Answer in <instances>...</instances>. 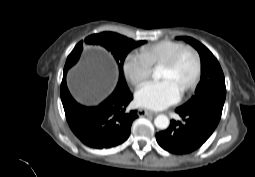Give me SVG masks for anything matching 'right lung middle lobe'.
I'll list each match as a JSON object with an SVG mask.
<instances>
[{
  "mask_svg": "<svg viewBox=\"0 0 255 177\" xmlns=\"http://www.w3.org/2000/svg\"><path fill=\"white\" fill-rule=\"evenodd\" d=\"M85 42L87 44L101 45L113 54L119 67L118 84L122 86H126L125 79L123 76V63L125 57L132 49L146 43V41L136 42L130 38H127L125 36L113 32H102L99 34L91 35L85 39ZM82 45L83 41H81L78 44V48L74 52V55H71L70 53V55L67 58L64 70H68L72 65H74L78 61L81 55Z\"/></svg>",
  "mask_w": 255,
  "mask_h": 177,
  "instance_id": "obj_1",
  "label": "right lung middle lobe"
}]
</instances>
